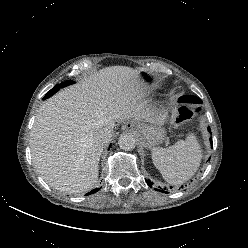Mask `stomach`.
<instances>
[{"mask_svg": "<svg viewBox=\"0 0 248 248\" xmlns=\"http://www.w3.org/2000/svg\"><path fill=\"white\" fill-rule=\"evenodd\" d=\"M140 79L143 82L153 84L154 78L146 69L139 72ZM136 133L139 135L142 144L146 147L154 146L162 142L165 138V131L163 128L155 126H145L142 124H133Z\"/></svg>", "mask_w": 248, "mask_h": 248, "instance_id": "stomach-1", "label": "stomach"}]
</instances>
